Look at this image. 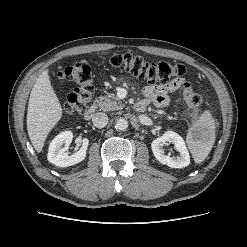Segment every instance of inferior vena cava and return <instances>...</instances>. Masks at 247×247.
I'll list each match as a JSON object with an SVG mask.
<instances>
[{
    "mask_svg": "<svg viewBox=\"0 0 247 247\" xmlns=\"http://www.w3.org/2000/svg\"><path fill=\"white\" fill-rule=\"evenodd\" d=\"M92 122L97 128H103L108 123V116L105 113L98 112L93 116Z\"/></svg>",
    "mask_w": 247,
    "mask_h": 247,
    "instance_id": "obj_1",
    "label": "inferior vena cava"
}]
</instances>
